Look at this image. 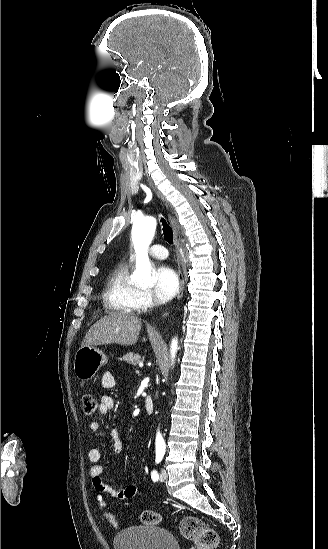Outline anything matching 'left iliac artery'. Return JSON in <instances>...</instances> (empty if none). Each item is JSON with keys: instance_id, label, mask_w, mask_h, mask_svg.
<instances>
[{"instance_id": "obj_1", "label": "left iliac artery", "mask_w": 328, "mask_h": 549, "mask_svg": "<svg viewBox=\"0 0 328 549\" xmlns=\"http://www.w3.org/2000/svg\"><path fill=\"white\" fill-rule=\"evenodd\" d=\"M161 460H162V457L159 456V455H156V460H155V462H156L157 464H159V463L161 462ZM151 478H152L153 481H158L159 475H158V473H157L156 470H153V471H152V473H151Z\"/></svg>"}]
</instances>
